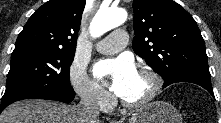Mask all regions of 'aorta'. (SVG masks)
<instances>
[{
	"mask_svg": "<svg viewBox=\"0 0 221 123\" xmlns=\"http://www.w3.org/2000/svg\"><path fill=\"white\" fill-rule=\"evenodd\" d=\"M127 19V12L121 8L100 9L90 24V35L98 38L107 31L122 25Z\"/></svg>",
	"mask_w": 221,
	"mask_h": 123,
	"instance_id": "1",
	"label": "aorta"
}]
</instances>
